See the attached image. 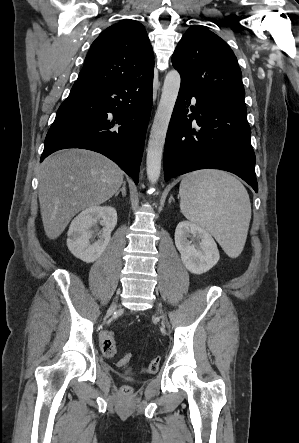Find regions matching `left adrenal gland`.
<instances>
[{"mask_svg":"<svg viewBox=\"0 0 299 443\" xmlns=\"http://www.w3.org/2000/svg\"><path fill=\"white\" fill-rule=\"evenodd\" d=\"M172 200L174 201L173 196H171V197L169 198V204L171 203Z\"/></svg>","mask_w":299,"mask_h":443,"instance_id":"obj_1","label":"left adrenal gland"}]
</instances>
